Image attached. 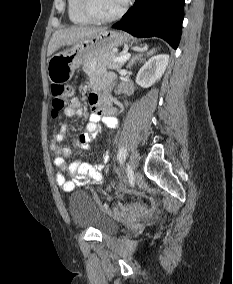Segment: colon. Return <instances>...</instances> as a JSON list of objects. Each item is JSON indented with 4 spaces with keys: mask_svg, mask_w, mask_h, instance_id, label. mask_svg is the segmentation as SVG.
I'll list each match as a JSON object with an SVG mask.
<instances>
[{
    "mask_svg": "<svg viewBox=\"0 0 233 284\" xmlns=\"http://www.w3.org/2000/svg\"><path fill=\"white\" fill-rule=\"evenodd\" d=\"M152 51L153 50H150V52ZM51 93L53 116L56 117L59 111L68 106L73 94V88L68 84L55 83L51 87ZM93 200L102 211L120 218L140 217L146 213V208L141 203L110 209L96 194H93Z\"/></svg>",
    "mask_w": 233,
    "mask_h": 284,
    "instance_id": "1",
    "label": "colon"
}]
</instances>
